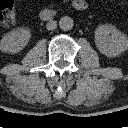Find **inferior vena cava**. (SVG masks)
<instances>
[{
	"label": "inferior vena cava",
	"mask_w": 128,
	"mask_h": 128,
	"mask_svg": "<svg viewBox=\"0 0 128 128\" xmlns=\"http://www.w3.org/2000/svg\"><path fill=\"white\" fill-rule=\"evenodd\" d=\"M46 28L48 30H54L57 28V22L54 20H50L47 24H46Z\"/></svg>",
	"instance_id": "obj_1"
}]
</instances>
